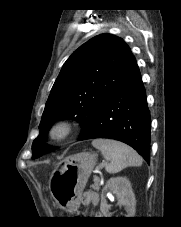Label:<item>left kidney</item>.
Segmentation results:
<instances>
[{"instance_id": "left-kidney-1", "label": "left kidney", "mask_w": 181, "mask_h": 227, "mask_svg": "<svg viewBox=\"0 0 181 227\" xmlns=\"http://www.w3.org/2000/svg\"><path fill=\"white\" fill-rule=\"evenodd\" d=\"M115 195L118 204L124 206L127 212L125 217H134L136 199L132 190L131 183L126 177L110 178L102 190L100 210L104 217H111L109 212L111 205L107 203L106 197L111 198Z\"/></svg>"}]
</instances>
